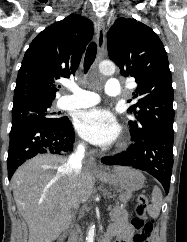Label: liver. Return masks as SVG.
Returning a JSON list of instances; mask_svg holds the SVG:
<instances>
[{"mask_svg": "<svg viewBox=\"0 0 187 242\" xmlns=\"http://www.w3.org/2000/svg\"><path fill=\"white\" fill-rule=\"evenodd\" d=\"M66 159L37 155L24 163L11 185L18 211L28 224V242H53L72 221V209L85 203L94 190L93 173L84 168L77 178L66 172ZM124 167H114V173Z\"/></svg>", "mask_w": 187, "mask_h": 242, "instance_id": "obj_1", "label": "liver"}]
</instances>
